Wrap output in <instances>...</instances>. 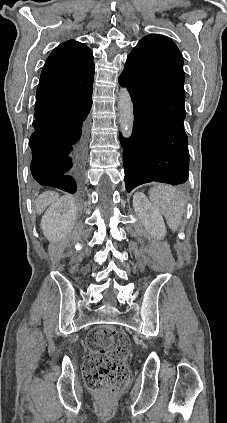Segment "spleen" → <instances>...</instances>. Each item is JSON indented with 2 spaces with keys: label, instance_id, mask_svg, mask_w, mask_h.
<instances>
[{
  "label": "spleen",
  "instance_id": "1",
  "mask_svg": "<svg viewBox=\"0 0 227 423\" xmlns=\"http://www.w3.org/2000/svg\"><path fill=\"white\" fill-rule=\"evenodd\" d=\"M151 204L155 210L164 215L170 229L177 231L185 211V200L178 194L176 188L157 184L149 190Z\"/></svg>",
  "mask_w": 227,
  "mask_h": 423
}]
</instances>
